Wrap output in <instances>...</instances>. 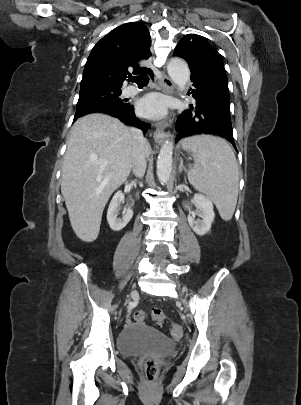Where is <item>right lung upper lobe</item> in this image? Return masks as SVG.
<instances>
[{
	"mask_svg": "<svg viewBox=\"0 0 301 405\" xmlns=\"http://www.w3.org/2000/svg\"><path fill=\"white\" fill-rule=\"evenodd\" d=\"M150 46L151 38L145 25L131 22L115 28L92 49L85 64L80 90L96 87L121 89L130 67L134 74L150 72L136 65L151 56Z\"/></svg>",
	"mask_w": 301,
	"mask_h": 405,
	"instance_id": "1",
	"label": "right lung upper lobe"
}]
</instances>
